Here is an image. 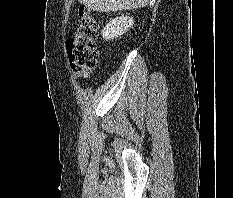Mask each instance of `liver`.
I'll use <instances>...</instances> for the list:
<instances>
[{
	"instance_id": "6515ba94",
	"label": "liver",
	"mask_w": 233,
	"mask_h": 198,
	"mask_svg": "<svg viewBox=\"0 0 233 198\" xmlns=\"http://www.w3.org/2000/svg\"><path fill=\"white\" fill-rule=\"evenodd\" d=\"M87 8L97 12L138 9L148 5L150 0H78Z\"/></svg>"
}]
</instances>
